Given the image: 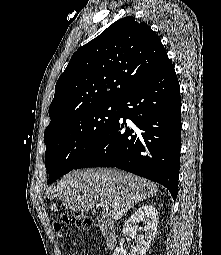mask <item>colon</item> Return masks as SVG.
<instances>
[{
  "label": "colon",
  "mask_w": 221,
  "mask_h": 255,
  "mask_svg": "<svg viewBox=\"0 0 221 255\" xmlns=\"http://www.w3.org/2000/svg\"><path fill=\"white\" fill-rule=\"evenodd\" d=\"M89 224L90 221L88 219H83L70 214H63L54 223V227L59 233H61L62 226L82 227L88 226Z\"/></svg>",
  "instance_id": "obj_1"
}]
</instances>
